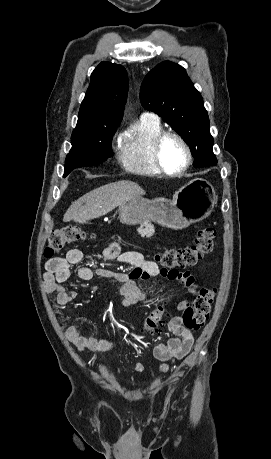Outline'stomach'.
I'll use <instances>...</instances> for the list:
<instances>
[{
  "instance_id": "1",
  "label": "stomach",
  "mask_w": 271,
  "mask_h": 459,
  "mask_svg": "<svg viewBox=\"0 0 271 459\" xmlns=\"http://www.w3.org/2000/svg\"><path fill=\"white\" fill-rule=\"evenodd\" d=\"M217 202L215 190L207 180H192L175 192L173 200L133 198L119 206L123 224H142L152 220L163 228L184 229L208 218Z\"/></svg>"
}]
</instances>
